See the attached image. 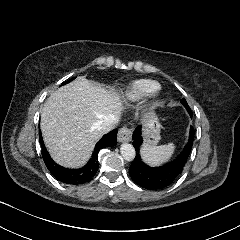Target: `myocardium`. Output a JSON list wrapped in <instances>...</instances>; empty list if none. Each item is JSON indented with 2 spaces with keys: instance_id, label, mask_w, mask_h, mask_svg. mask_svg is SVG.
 <instances>
[{
  "instance_id": "obj_1",
  "label": "myocardium",
  "mask_w": 240,
  "mask_h": 240,
  "mask_svg": "<svg viewBox=\"0 0 240 240\" xmlns=\"http://www.w3.org/2000/svg\"><path fill=\"white\" fill-rule=\"evenodd\" d=\"M152 97L153 99H157L160 95V89L159 88H156L153 92H152Z\"/></svg>"
}]
</instances>
